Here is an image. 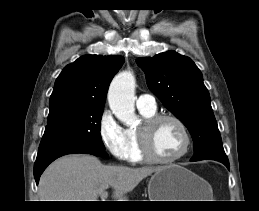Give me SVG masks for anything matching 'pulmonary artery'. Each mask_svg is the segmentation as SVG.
<instances>
[{"label": "pulmonary artery", "mask_w": 259, "mask_h": 211, "mask_svg": "<svg viewBox=\"0 0 259 211\" xmlns=\"http://www.w3.org/2000/svg\"><path fill=\"white\" fill-rule=\"evenodd\" d=\"M136 105L140 110L155 111L157 108L155 98L149 94H141L136 100Z\"/></svg>", "instance_id": "obj_1"}]
</instances>
